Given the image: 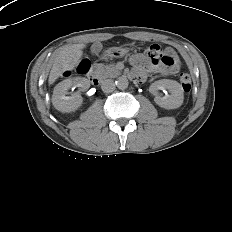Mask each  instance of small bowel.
<instances>
[{
  "label": "small bowel",
  "mask_w": 232,
  "mask_h": 232,
  "mask_svg": "<svg viewBox=\"0 0 232 232\" xmlns=\"http://www.w3.org/2000/svg\"><path fill=\"white\" fill-rule=\"evenodd\" d=\"M169 52L174 55L172 50ZM130 62L134 66V70L129 74V80L134 84L145 85L161 74V68L154 65L144 54L133 56Z\"/></svg>",
  "instance_id": "obj_1"
}]
</instances>
